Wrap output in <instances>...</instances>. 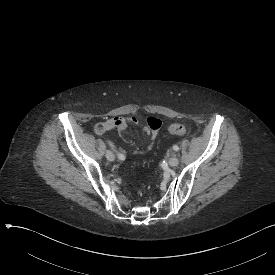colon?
<instances>
[{"label": "colon", "instance_id": "colon-1", "mask_svg": "<svg viewBox=\"0 0 275 275\" xmlns=\"http://www.w3.org/2000/svg\"><path fill=\"white\" fill-rule=\"evenodd\" d=\"M92 130L94 134L101 136L105 134L107 127L105 123L98 121L94 123ZM168 132L174 135L182 136L186 134L187 130L185 126H183L182 124L173 123L168 126Z\"/></svg>", "mask_w": 275, "mask_h": 275}]
</instances>
